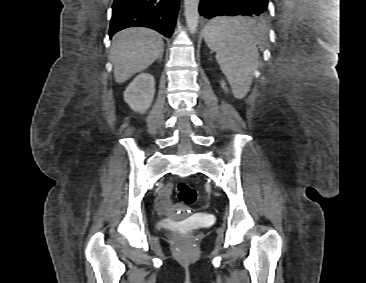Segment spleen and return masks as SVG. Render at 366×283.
<instances>
[{
	"label": "spleen",
	"mask_w": 366,
	"mask_h": 283,
	"mask_svg": "<svg viewBox=\"0 0 366 283\" xmlns=\"http://www.w3.org/2000/svg\"><path fill=\"white\" fill-rule=\"evenodd\" d=\"M259 35L254 22L229 17H217L204 29L205 42L216 53L220 69L239 99L250 91L259 59Z\"/></svg>",
	"instance_id": "spleen-1"
}]
</instances>
